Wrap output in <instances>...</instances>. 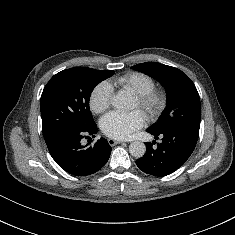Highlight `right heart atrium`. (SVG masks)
I'll use <instances>...</instances> for the list:
<instances>
[{
  "instance_id": "d8ad5b80",
  "label": "right heart atrium",
  "mask_w": 235,
  "mask_h": 235,
  "mask_svg": "<svg viewBox=\"0 0 235 235\" xmlns=\"http://www.w3.org/2000/svg\"><path fill=\"white\" fill-rule=\"evenodd\" d=\"M112 94L113 90L108 82L104 81L97 84L89 97L90 110L95 114L106 111L111 105Z\"/></svg>"
}]
</instances>
